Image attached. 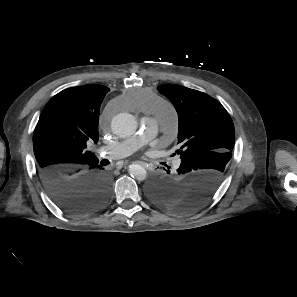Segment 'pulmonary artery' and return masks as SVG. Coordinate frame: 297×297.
I'll use <instances>...</instances> for the list:
<instances>
[{
	"instance_id": "obj_1",
	"label": "pulmonary artery",
	"mask_w": 297,
	"mask_h": 297,
	"mask_svg": "<svg viewBox=\"0 0 297 297\" xmlns=\"http://www.w3.org/2000/svg\"><path fill=\"white\" fill-rule=\"evenodd\" d=\"M176 119L174 108L169 104L162 105L154 117L146 119L133 136L113 145L101 147L100 151L106 153L110 158L128 156L154 138L159 130L171 128Z\"/></svg>"
}]
</instances>
